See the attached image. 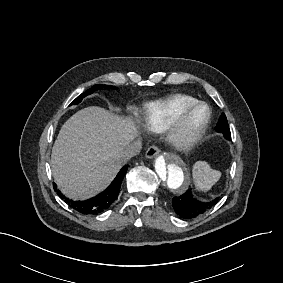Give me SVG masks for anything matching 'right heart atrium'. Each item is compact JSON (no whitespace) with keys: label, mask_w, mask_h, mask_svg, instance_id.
Segmentation results:
<instances>
[{"label":"right heart atrium","mask_w":283,"mask_h":283,"mask_svg":"<svg viewBox=\"0 0 283 283\" xmlns=\"http://www.w3.org/2000/svg\"><path fill=\"white\" fill-rule=\"evenodd\" d=\"M127 117L135 120L140 125V127L142 129L141 123H140V121L138 120V118L136 116H134L133 114H129ZM142 131H143V129H142ZM143 134H144V131H143ZM144 140H145V134H144Z\"/></svg>","instance_id":"d8ad5b80"}]
</instances>
